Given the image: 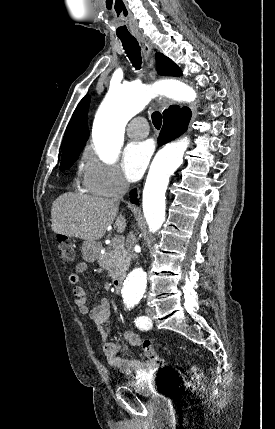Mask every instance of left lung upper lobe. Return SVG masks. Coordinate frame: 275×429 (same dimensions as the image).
Masks as SVG:
<instances>
[{
  "instance_id": "5c2ea615",
  "label": "left lung upper lobe",
  "mask_w": 275,
  "mask_h": 429,
  "mask_svg": "<svg viewBox=\"0 0 275 429\" xmlns=\"http://www.w3.org/2000/svg\"><path fill=\"white\" fill-rule=\"evenodd\" d=\"M156 67L158 73L161 75H182L179 67L171 59L161 53L156 54Z\"/></svg>"
}]
</instances>
